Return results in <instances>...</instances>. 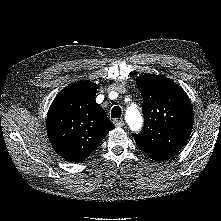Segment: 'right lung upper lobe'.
I'll return each mask as SVG.
<instances>
[{
    "instance_id": "cb5924a9",
    "label": "right lung upper lobe",
    "mask_w": 221,
    "mask_h": 221,
    "mask_svg": "<svg viewBox=\"0 0 221 221\" xmlns=\"http://www.w3.org/2000/svg\"><path fill=\"white\" fill-rule=\"evenodd\" d=\"M98 88L91 81L75 82L65 87L49 108L47 134L55 152L65 160H85L114 129L95 102Z\"/></svg>"
}]
</instances>
